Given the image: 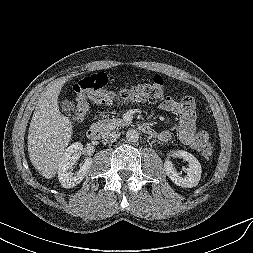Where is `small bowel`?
<instances>
[{"label":"small bowel","instance_id":"c3829d8e","mask_svg":"<svg viewBox=\"0 0 253 253\" xmlns=\"http://www.w3.org/2000/svg\"><path fill=\"white\" fill-rule=\"evenodd\" d=\"M159 107L163 111L175 113L179 116L178 137L183 144L196 151L204 148L207 142V135L205 132L197 130L195 102L193 99H189V96H183L179 100L167 97L160 103ZM153 135L165 143L172 139V134L168 130H163Z\"/></svg>","mask_w":253,"mask_h":253}]
</instances>
